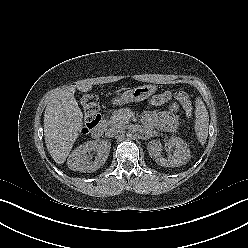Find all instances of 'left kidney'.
<instances>
[{"label":"left kidney","instance_id":"1","mask_svg":"<svg viewBox=\"0 0 248 248\" xmlns=\"http://www.w3.org/2000/svg\"><path fill=\"white\" fill-rule=\"evenodd\" d=\"M168 144L175 149L173 156L163 158L160 140H152L148 143L149 155L163 167H178L186 164L191 157L187 144L179 137H171Z\"/></svg>","mask_w":248,"mask_h":248}]
</instances>
